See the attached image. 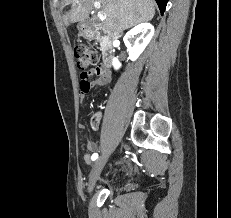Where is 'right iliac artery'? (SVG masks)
<instances>
[{
	"label": "right iliac artery",
	"instance_id": "1",
	"mask_svg": "<svg viewBox=\"0 0 231 218\" xmlns=\"http://www.w3.org/2000/svg\"><path fill=\"white\" fill-rule=\"evenodd\" d=\"M98 158V154L97 153H94L93 155H92V160L94 161V160H96Z\"/></svg>",
	"mask_w": 231,
	"mask_h": 218
}]
</instances>
